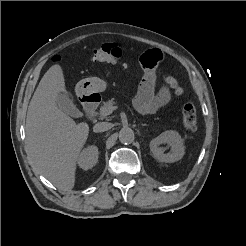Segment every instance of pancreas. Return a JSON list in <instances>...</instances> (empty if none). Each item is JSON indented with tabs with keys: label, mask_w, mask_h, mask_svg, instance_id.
I'll list each match as a JSON object with an SVG mask.
<instances>
[{
	"label": "pancreas",
	"mask_w": 246,
	"mask_h": 246,
	"mask_svg": "<svg viewBox=\"0 0 246 246\" xmlns=\"http://www.w3.org/2000/svg\"><path fill=\"white\" fill-rule=\"evenodd\" d=\"M115 104L114 99L108 100L106 102H103V106L100 107V111L106 107L113 106Z\"/></svg>",
	"instance_id": "cf45deb5"
}]
</instances>
